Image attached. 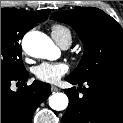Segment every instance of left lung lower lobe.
I'll use <instances>...</instances> for the list:
<instances>
[{"mask_svg":"<svg viewBox=\"0 0 123 123\" xmlns=\"http://www.w3.org/2000/svg\"><path fill=\"white\" fill-rule=\"evenodd\" d=\"M66 80L80 87L65 89L69 105L61 123H123V72L103 73L86 80L68 76Z\"/></svg>","mask_w":123,"mask_h":123,"instance_id":"left-lung-lower-lobe-1","label":"left lung lower lobe"}]
</instances>
